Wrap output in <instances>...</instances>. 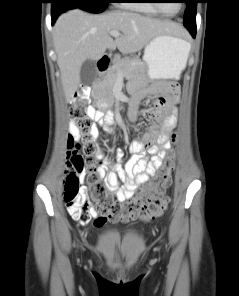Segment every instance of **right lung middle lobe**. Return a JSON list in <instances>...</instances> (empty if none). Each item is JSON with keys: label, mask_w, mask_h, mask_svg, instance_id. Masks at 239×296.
Returning a JSON list of instances; mask_svg holds the SVG:
<instances>
[{"label": "right lung middle lobe", "mask_w": 239, "mask_h": 296, "mask_svg": "<svg viewBox=\"0 0 239 296\" xmlns=\"http://www.w3.org/2000/svg\"><path fill=\"white\" fill-rule=\"evenodd\" d=\"M56 1L61 2L63 11L80 8L93 13L103 12L107 8V4L111 2V0H51L52 6Z\"/></svg>", "instance_id": "obj_1"}]
</instances>
